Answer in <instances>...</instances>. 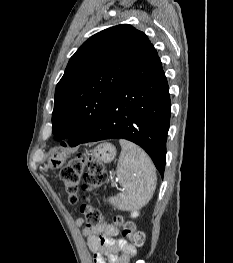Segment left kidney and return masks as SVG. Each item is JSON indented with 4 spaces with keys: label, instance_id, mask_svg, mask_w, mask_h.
I'll use <instances>...</instances> for the list:
<instances>
[{
    "label": "left kidney",
    "instance_id": "5707ae66",
    "mask_svg": "<svg viewBox=\"0 0 233 263\" xmlns=\"http://www.w3.org/2000/svg\"><path fill=\"white\" fill-rule=\"evenodd\" d=\"M138 215H139V212L136 210L131 213L132 218H136Z\"/></svg>",
    "mask_w": 233,
    "mask_h": 263
}]
</instances>
